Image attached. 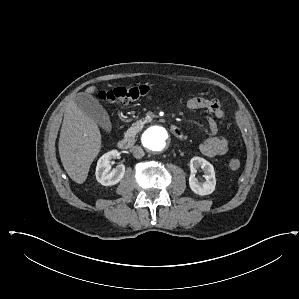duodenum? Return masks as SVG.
Segmentation results:
<instances>
[{"label":"duodenum","instance_id":"obj_1","mask_svg":"<svg viewBox=\"0 0 299 299\" xmlns=\"http://www.w3.org/2000/svg\"><path fill=\"white\" fill-rule=\"evenodd\" d=\"M170 131L175 137L179 139L183 138L184 136L182 129L174 124L170 125ZM134 143L135 139L133 137H125L119 141L118 147L122 150H127L131 148Z\"/></svg>","mask_w":299,"mask_h":299}]
</instances>
